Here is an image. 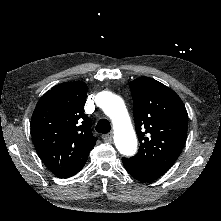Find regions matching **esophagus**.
I'll return each instance as SVG.
<instances>
[{
	"label": "esophagus",
	"instance_id": "obj_1",
	"mask_svg": "<svg viewBox=\"0 0 221 221\" xmlns=\"http://www.w3.org/2000/svg\"><path fill=\"white\" fill-rule=\"evenodd\" d=\"M102 139L104 140V142L106 143H111L112 142V134L108 133V134H104L102 136Z\"/></svg>",
	"mask_w": 221,
	"mask_h": 221
}]
</instances>
